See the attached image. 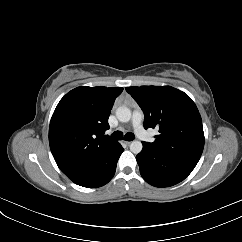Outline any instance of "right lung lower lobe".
<instances>
[{
	"label": "right lung lower lobe",
	"mask_w": 242,
	"mask_h": 242,
	"mask_svg": "<svg viewBox=\"0 0 242 242\" xmlns=\"http://www.w3.org/2000/svg\"><path fill=\"white\" fill-rule=\"evenodd\" d=\"M123 147L116 144L92 157L86 164L67 177L77 185L96 188L107 184L115 174Z\"/></svg>",
	"instance_id": "1"
}]
</instances>
